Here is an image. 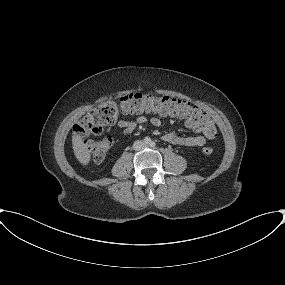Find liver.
<instances>
[{"mask_svg":"<svg viewBox=\"0 0 285 285\" xmlns=\"http://www.w3.org/2000/svg\"><path fill=\"white\" fill-rule=\"evenodd\" d=\"M72 146L77 160L82 165H87L90 162L91 154L82 139L75 134L72 136Z\"/></svg>","mask_w":285,"mask_h":285,"instance_id":"6515ba94","label":"liver"}]
</instances>
